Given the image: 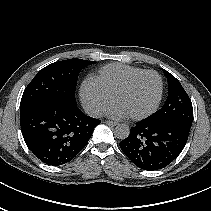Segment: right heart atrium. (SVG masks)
Masks as SVG:
<instances>
[{
	"mask_svg": "<svg viewBox=\"0 0 211 211\" xmlns=\"http://www.w3.org/2000/svg\"><path fill=\"white\" fill-rule=\"evenodd\" d=\"M80 97L86 110L100 115L111 102L112 96L93 78L86 79L80 88Z\"/></svg>",
	"mask_w": 211,
	"mask_h": 211,
	"instance_id": "obj_1",
	"label": "right heart atrium"
}]
</instances>
